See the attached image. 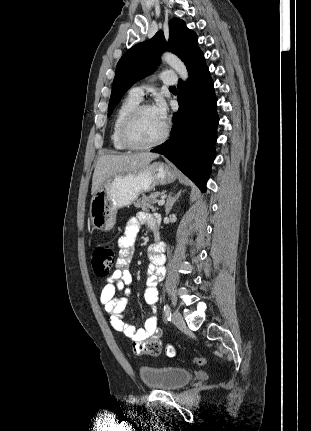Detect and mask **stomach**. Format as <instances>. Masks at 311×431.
<instances>
[{"mask_svg":"<svg viewBox=\"0 0 311 431\" xmlns=\"http://www.w3.org/2000/svg\"><path fill=\"white\" fill-rule=\"evenodd\" d=\"M177 180L173 168L163 162H152L136 174L114 176L106 180L93 194L89 206V219L97 231L113 229L118 210L135 204L141 194L153 192L156 186H167Z\"/></svg>","mask_w":311,"mask_h":431,"instance_id":"stomach-1","label":"stomach"}]
</instances>
